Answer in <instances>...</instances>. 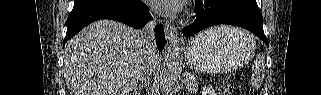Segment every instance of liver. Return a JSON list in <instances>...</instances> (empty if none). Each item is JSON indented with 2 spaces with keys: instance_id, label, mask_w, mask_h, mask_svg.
<instances>
[{
  "instance_id": "liver-1",
  "label": "liver",
  "mask_w": 321,
  "mask_h": 95,
  "mask_svg": "<svg viewBox=\"0 0 321 95\" xmlns=\"http://www.w3.org/2000/svg\"><path fill=\"white\" fill-rule=\"evenodd\" d=\"M148 57L140 31L111 20L93 22L65 45L70 95H128L141 80ZM158 63L156 50L153 67Z\"/></svg>"
}]
</instances>
